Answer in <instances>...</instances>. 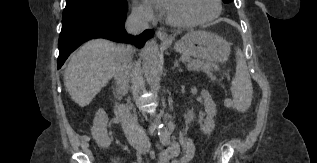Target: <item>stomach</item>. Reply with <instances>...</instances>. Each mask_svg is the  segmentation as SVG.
Returning <instances> with one entry per match:
<instances>
[{"mask_svg": "<svg viewBox=\"0 0 317 163\" xmlns=\"http://www.w3.org/2000/svg\"><path fill=\"white\" fill-rule=\"evenodd\" d=\"M176 51L198 59L221 62L230 54V44L222 37L207 31H191L175 43Z\"/></svg>", "mask_w": 317, "mask_h": 163, "instance_id": "obj_1", "label": "stomach"}]
</instances>
